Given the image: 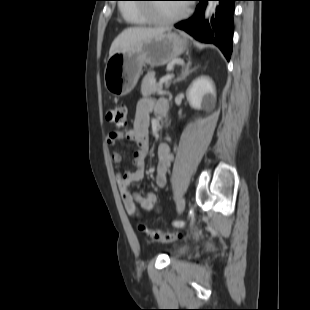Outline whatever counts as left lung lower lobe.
Here are the masks:
<instances>
[{"instance_id":"left-lung-lower-lobe-1","label":"left lung lower lobe","mask_w":310,"mask_h":310,"mask_svg":"<svg viewBox=\"0 0 310 310\" xmlns=\"http://www.w3.org/2000/svg\"><path fill=\"white\" fill-rule=\"evenodd\" d=\"M197 1L199 4L195 14L191 18L175 24V27L186 31L201 42L215 44L229 61L233 41L234 2L237 0H215L220 4L210 22H204L202 18L207 1L211 0Z\"/></svg>"}]
</instances>
